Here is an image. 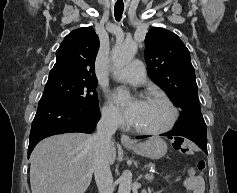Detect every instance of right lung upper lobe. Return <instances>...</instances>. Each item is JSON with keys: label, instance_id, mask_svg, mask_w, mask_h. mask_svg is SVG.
Listing matches in <instances>:
<instances>
[{"label": "right lung upper lobe", "instance_id": "right-lung-upper-lobe-1", "mask_svg": "<svg viewBox=\"0 0 237 193\" xmlns=\"http://www.w3.org/2000/svg\"><path fill=\"white\" fill-rule=\"evenodd\" d=\"M99 45V38L92 27L73 30L56 51V63L50 74L97 80L94 63Z\"/></svg>", "mask_w": 237, "mask_h": 193}]
</instances>
